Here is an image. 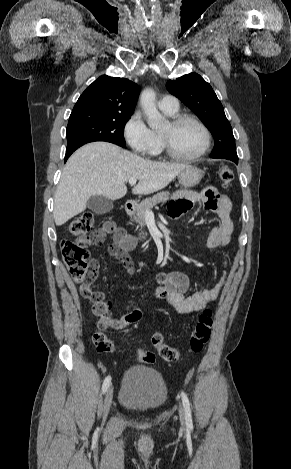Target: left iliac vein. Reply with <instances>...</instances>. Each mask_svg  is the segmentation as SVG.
Instances as JSON below:
<instances>
[{
	"label": "left iliac vein",
	"mask_w": 291,
	"mask_h": 469,
	"mask_svg": "<svg viewBox=\"0 0 291 469\" xmlns=\"http://www.w3.org/2000/svg\"><path fill=\"white\" fill-rule=\"evenodd\" d=\"M179 416H180V421H181L182 426H185V413H184V409L182 406H180L179 408Z\"/></svg>",
	"instance_id": "4c4485c4"
}]
</instances>
